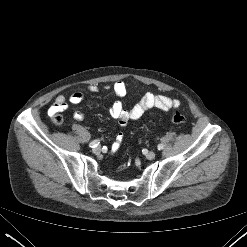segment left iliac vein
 I'll return each instance as SVG.
<instances>
[{
  "label": "left iliac vein",
  "mask_w": 247,
  "mask_h": 247,
  "mask_svg": "<svg viewBox=\"0 0 247 247\" xmlns=\"http://www.w3.org/2000/svg\"><path fill=\"white\" fill-rule=\"evenodd\" d=\"M155 156H156V154L154 152H152V151L146 153V158L149 159V160L154 159Z\"/></svg>",
  "instance_id": "1"
}]
</instances>
